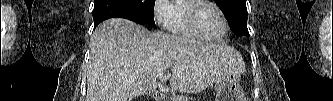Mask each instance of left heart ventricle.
Wrapping results in <instances>:
<instances>
[{"mask_svg": "<svg viewBox=\"0 0 333 101\" xmlns=\"http://www.w3.org/2000/svg\"><path fill=\"white\" fill-rule=\"evenodd\" d=\"M197 23L202 33L209 37H218L224 31V24L220 15L208 5H203L198 9Z\"/></svg>", "mask_w": 333, "mask_h": 101, "instance_id": "1", "label": "left heart ventricle"}]
</instances>
